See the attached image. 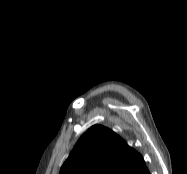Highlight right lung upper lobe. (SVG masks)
<instances>
[{
	"label": "right lung upper lobe",
	"instance_id": "cb5924a9",
	"mask_svg": "<svg viewBox=\"0 0 187 174\" xmlns=\"http://www.w3.org/2000/svg\"><path fill=\"white\" fill-rule=\"evenodd\" d=\"M60 174H150L142 156L100 125L82 135Z\"/></svg>",
	"mask_w": 187,
	"mask_h": 174
}]
</instances>
